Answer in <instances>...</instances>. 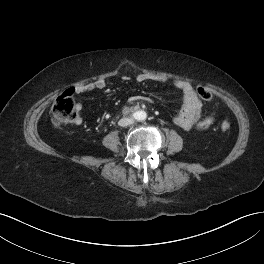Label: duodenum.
<instances>
[{
    "instance_id": "duodenum-1",
    "label": "duodenum",
    "mask_w": 264,
    "mask_h": 264,
    "mask_svg": "<svg viewBox=\"0 0 264 264\" xmlns=\"http://www.w3.org/2000/svg\"><path fill=\"white\" fill-rule=\"evenodd\" d=\"M130 110L133 111V110H135V108H131Z\"/></svg>"
}]
</instances>
